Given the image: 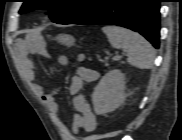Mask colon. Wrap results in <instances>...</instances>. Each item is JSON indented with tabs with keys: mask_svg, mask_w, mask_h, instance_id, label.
<instances>
[{
	"mask_svg": "<svg viewBox=\"0 0 182 140\" xmlns=\"http://www.w3.org/2000/svg\"><path fill=\"white\" fill-rule=\"evenodd\" d=\"M93 139H94L93 137L88 136V137L83 138L82 140H93Z\"/></svg>",
	"mask_w": 182,
	"mask_h": 140,
	"instance_id": "obj_1",
	"label": "colon"
}]
</instances>
